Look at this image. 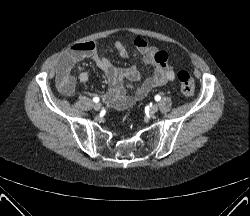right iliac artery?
Wrapping results in <instances>:
<instances>
[{
    "mask_svg": "<svg viewBox=\"0 0 250 216\" xmlns=\"http://www.w3.org/2000/svg\"><path fill=\"white\" fill-rule=\"evenodd\" d=\"M93 101L97 103V102H99V98L98 97H94Z\"/></svg>",
    "mask_w": 250,
    "mask_h": 216,
    "instance_id": "1",
    "label": "right iliac artery"
}]
</instances>
